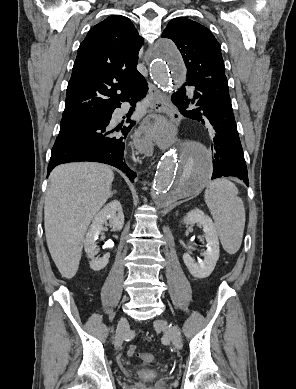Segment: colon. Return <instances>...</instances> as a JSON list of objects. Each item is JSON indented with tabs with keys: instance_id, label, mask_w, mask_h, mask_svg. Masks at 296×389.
I'll use <instances>...</instances> for the list:
<instances>
[{
	"instance_id": "obj_1",
	"label": "colon",
	"mask_w": 296,
	"mask_h": 389,
	"mask_svg": "<svg viewBox=\"0 0 296 389\" xmlns=\"http://www.w3.org/2000/svg\"><path fill=\"white\" fill-rule=\"evenodd\" d=\"M129 356L139 355L144 361L152 362L154 357L150 353H139L134 345H130L127 350Z\"/></svg>"
}]
</instances>
